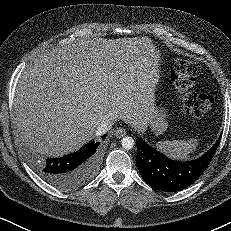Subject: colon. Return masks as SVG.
<instances>
[{
	"label": "colon",
	"instance_id": "obj_1",
	"mask_svg": "<svg viewBox=\"0 0 231 231\" xmlns=\"http://www.w3.org/2000/svg\"><path fill=\"white\" fill-rule=\"evenodd\" d=\"M199 72V65L190 59H178L171 70L172 82L179 94L182 110L193 116L208 112L215 103L211 94L192 92Z\"/></svg>",
	"mask_w": 231,
	"mask_h": 231
}]
</instances>
